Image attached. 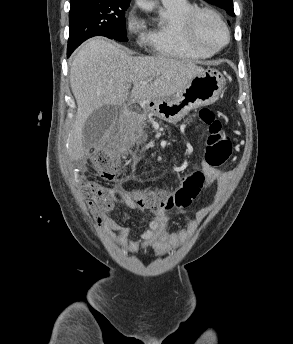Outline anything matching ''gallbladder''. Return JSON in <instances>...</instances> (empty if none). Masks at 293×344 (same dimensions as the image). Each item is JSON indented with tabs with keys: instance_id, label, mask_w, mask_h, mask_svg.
<instances>
[{
	"instance_id": "obj_1",
	"label": "gallbladder",
	"mask_w": 293,
	"mask_h": 344,
	"mask_svg": "<svg viewBox=\"0 0 293 344\" xmlns=\"http://www.w3.org/2000/svg\"><path fill=\"white\" fill-rule=\"evenodd\" d=\"M118 115V107L104 105L95 110L85 122L83 128V144L87 148L98 144L107 129L114 123Z\"/></svg>"
}]
</instances>
